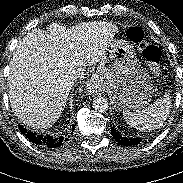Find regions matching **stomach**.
<instances>
[{"mask_svg": "<svg viewBox=\"0 0 183 183\" xmlns=\"http://www.w3.org/2000/svg\"><path fill=\"white\" fill-rule=\"evenodd\" d=\"M94 84L107 91L117 111L143 109L152 99L153 84L139 66L129 41L113 39L99 61Z\"/></svg>", "mask_w": 183, "mask_h": 183, "instance_id": "1", "label": "stomach"}]
</instances>
